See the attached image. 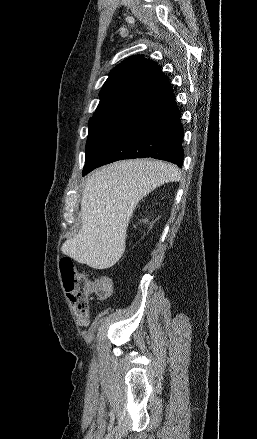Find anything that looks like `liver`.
Returning <instances> with one entry per match:
<instances>
[{"label":"liver","mask_w":257,"mask_h":439,"mask_svg":"<svg viewBox=\"0 0 257 439\" xmlns=\"http://www.w3.org/2000/svg\"><path fill=\"white\" fill-rule=\"evenodd\" d=\"M179 178L176 166L149 159L123 160L96 170L82 194L81 228L62 245V252L91 268H110L125 251L127 227L138 202Z\"/></svg>","instance_id":"6515ba94"}]
</instances>
